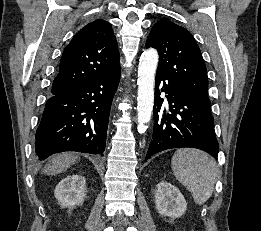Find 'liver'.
I'll use <instances>...</instances> for the list:
<instances>
[{
    "instance_id": "6515ba94",
    "label": "liver",
    "mask_w": 261,
    "mask_h": 231,
    "mask_svg": "<svg viewBox=\"0 0 261 231\" xmlns=\"http://www.w3.org/2000/svg\"><path fill=\"white\" fill-rule=\"evenodd\" d=\"M77 160H78V156L71 153L55 155L46 164L43 172L47 175L59 174L65 171L71 165H73Z\"/></svg>"
}]
</instances>
